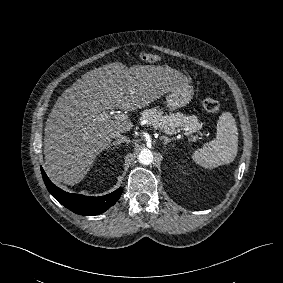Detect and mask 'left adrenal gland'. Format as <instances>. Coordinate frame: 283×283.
<instances>
[{
	"label": "left adrenal gland",
	"instance_id": "obj_1",
	"mask_svg": "<svg viewBox=\"0 0 283 283\" xmlns=\"http://www.w3.org/2000/svg\"><path fill=\"white\" fill-rule=\"evenodd\" d=\"M159 139L164 141V145H167L168 143L172 141V139L167 136H161L159 137Z\"/></svg>",
	"mask_w": 283,
	"mask_h": 283
}]
</instances>
